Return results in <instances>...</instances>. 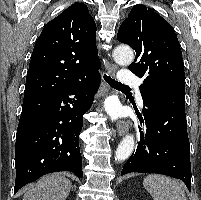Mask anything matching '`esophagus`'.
Instances as JSON below:
<instances>
[{
	"label": "esophagus",
	"instance_id": "esophagus-1",
	"mask_svg": "<svg viewBox=\"0 0 201 200\" xmlns=\"http://www.w3.org/2000/svg\"><path fill=\"white\" fill-rule=\"evenodd\" d=\"M117 66L115 64L109 63V65L107 66V72L111 77H115L116 72H117ZM130 127V122L120 119L117 122V133L119 136H122L124 134H126L129 130Z\"/></svg>",
	"mask_w": 201,
	"mask_h": 200
}]
</instances>
